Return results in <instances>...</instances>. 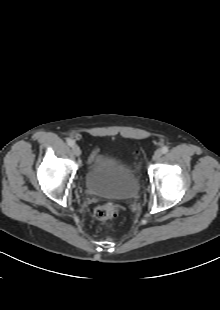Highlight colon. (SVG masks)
I'll use <instances>...</instances> for the list:
<instances>
[{"instance_id": "5ec220e1", "label": "colon", "mask_w": 220, "mask_h": 310, "mask_svg": "<svg viewBox=\"0 0 220 310\" xmlns=\"http://www.w3.org/2000/svg\"><path fill=\"white\" fill-rule=\"evenodd\" d=\"M117 214L118 206L113 202L99 205L94 211V216L99 220H110L115 218Z\"/></svg>"}]
</instances>
